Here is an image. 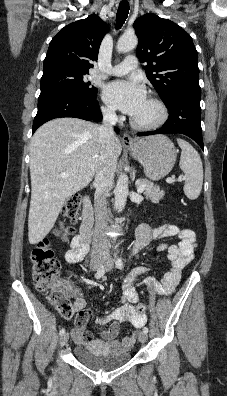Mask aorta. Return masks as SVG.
Wrapping results in <instances>:
<instances>
[{
    "instance_id": "1",
    "label": "aorta",
    "mask_w": 227,
    "mask_h": 396,
    "mask_svg": "<svg viewBox=\"0 0 227 396\" xmlns=\"http://www.w3.org/2000/svg\"><path fill=\"white\" fill-rule=\"evenodd\" d=\"M137 44L138 39L134 33H124L117 42V50L120 53H126L134 49ZM114 194L115 207L118 211H122L125 207L128 195V177L126 174H121L118 177Z\"/></svg>"
}]
</instances>
